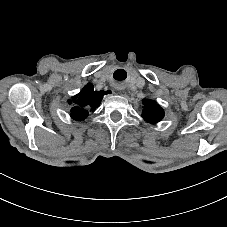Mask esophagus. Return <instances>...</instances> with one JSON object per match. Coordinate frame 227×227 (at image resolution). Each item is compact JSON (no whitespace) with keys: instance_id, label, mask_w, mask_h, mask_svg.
Wrapping results in <instances>:
<instances>
[{"instance_id":"obj_1","label":"esophagus","mask_w":227,"mask_h":227,"mask_svg":"<svg viewBox=\"0 0 227 227\" xmlns=\"http://www.w3.org/2000/svg\"><path fill=\"white\" fill-rule=\"evenodd\" d=\"M118 90H119V91H122V90H124V89H123V88H119Z\"/></svg>"}]
</instances>
